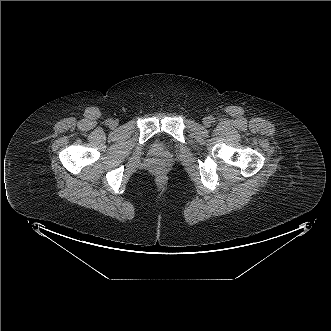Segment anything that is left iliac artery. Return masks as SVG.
Instances as JSON below:
<instances>
[{"label":"left iliac artery","instance_id":"left-iliac-artery-1","mask_svg":"<svg viewBox=\"0 0 331 331\" xmlns=\"http://www.w3.org/2000/svg\"><path fill=\"white\" fill-rule=\"evenodd\" d=\"M210 120H211V122H213L214 118L211 117Z\"/></svg>","mask_w":331,"mask_h":331}]
</instances>
